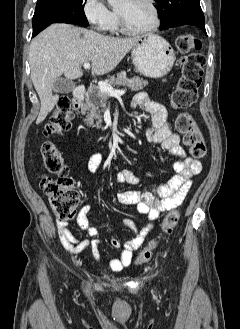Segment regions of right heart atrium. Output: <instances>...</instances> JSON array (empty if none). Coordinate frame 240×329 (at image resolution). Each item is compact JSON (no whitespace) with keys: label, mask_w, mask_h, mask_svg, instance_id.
<instances>
[{"label":"right heart atrium","mask_w":240,"mask_h":329,"mask_svg":"<svg viewBox=\"0 0 240 329\" xmlns=\"http://www.w3.org/2000/svg\"><path fill=\"white\" fill-rule=\"evenodd\" d=\"M83 14L97 32L110 30L116 15L104 0H84Z\"/></svg>","instance_id":"obj_1"}]
</instances>
